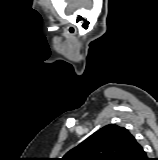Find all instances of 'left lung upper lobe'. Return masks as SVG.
Wrapping results in <instances>:
<instances>
[{
    "instance_id": "obj_1",
    "label": "left lung upper lobe",
    "mask_w": 158,
    "mask_h": 160,
    "mask_svg": "<svg viewBox=\"0 0 158 160\" xmlns=\"http://www.w3.org/2000/svg\"><path fill=\"white\" fill-rule=\"evenodd\" d=\"M135 143L127 129L110 124L71 149L62 160H128Z\"/></svg>"
}]
</instances>
